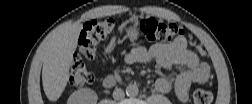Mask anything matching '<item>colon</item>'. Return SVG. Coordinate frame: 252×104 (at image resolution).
Wrapping results in <instances>:
<instances>
[{
	"mask_svg": "<svg viewBox=\"0 0 252 104\" xmlns=\"http://www.w3.org/2000/svg\"><path fill=\"white\" fill-rule=\"evenodd\" d=\"M111 19L94 20L86 24L79 36V50L82 56L91 60L95 56L98 42L106 39L113 31ZM143 39L147 42H168L183 34L182 28L176 23L165 22L154 17L142 19L139 24ZM94 75L85 66L80 56H75L70 69L69 83L75 87L93 82ZM193 100L196 104H209L212 94L206 89H197Z\"/></svg>",
	"mask_w": 252,
	"mask_h": 104,
	"instance_id": "obj_1",
	"label": "colon"
}]
</instances>
